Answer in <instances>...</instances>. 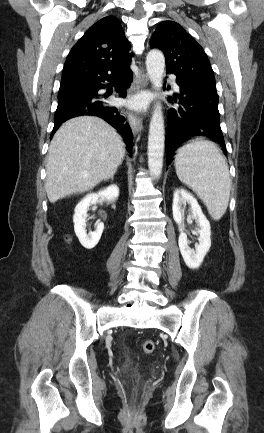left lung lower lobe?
Segmentation results:
<instances>
[{"instance_id":"0a47b994","label":"left lung lower lobe","mask_w":264,"mask_h":433,"mask_svg":"<svg viewBox=\"0 0 264 433\" xmlns=\"http://www.w3.org/2000/svg\"><path fill=\"white\" fill-rule=\"evenodd\" d=\"M170 73V72H168ZM180 94L168 97L178 107L169 110L165 137L167 164L174 151L193 137H205L221 145L225 155L226 145L220 127L216 87L205 84H187L177 79Z\"/></svg>"}]
</instances>
